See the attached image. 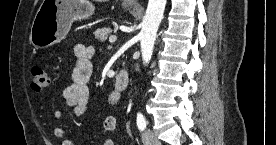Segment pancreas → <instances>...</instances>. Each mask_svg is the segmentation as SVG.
<instances>
[{"instance_id":"obj_1","label":"pancreas","mask_w":276,"mask_h":145,"mask_svg":"<svg viewBox=\"0 0 276 145\" xmlns=\"http://www.w3.org/2000/svg\"><path fill=\"white\" fill-rule=\"evenodd\" d=\"M111 33L112 29L110 27H104L95 31L94 35L95 39H97L100 42H104Z\"/></svg>"}]
</instances>
